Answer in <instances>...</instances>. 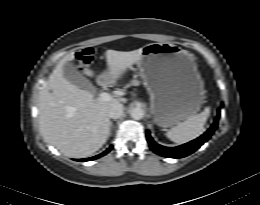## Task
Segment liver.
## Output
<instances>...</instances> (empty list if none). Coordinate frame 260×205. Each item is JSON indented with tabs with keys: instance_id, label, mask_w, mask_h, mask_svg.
Instances as JSON below:
<instances>
[{
	"instance_id": "obj_1",
	"label": "liver",
	"mask_w": 260,
	"mask_h": 205,
	"mask_svg": "<svg viewBox=\"0 0 260 205\" xmlns=\"http://www.w3.org/2000/svg\"><path fill=\"white\" fill-rule=\"evenodd\" d=\"M107 79L113 83L142 57V48L123 52L107 50ZM74 53L67 54L49 76L39 96V124L44 139L65 156L83 158L98 151L106 142L110 132L108 109L125 103L126 98L108 102L95 100L93 95L65 77L63 66L74 60ZM94 77V72L84 69Z\"/></svg>"
}]
</instances>
